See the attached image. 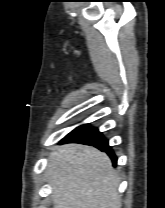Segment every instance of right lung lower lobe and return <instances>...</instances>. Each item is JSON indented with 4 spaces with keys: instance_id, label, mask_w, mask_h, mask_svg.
I'll list each match as a JSON object with an SVG mask.
<instances>
[{
    "instance_id": "right-lung-lower-lobe-1",
    "label": "right lung lower lobe",
    "mask_w": 165,
    "mask_h": 208,
    "mask_svg": "<svg viewBox=\"0 0 165 208\" xmlns=\"http://www.w3.org/2000/svg\"><path fill=\"white\" fill-rule=\"evenodd\" d=\"M61 143H80L94 146L99 150L106 152L110 156L114 166L117 164V157L109 146L108 140H106L102 133L96 128L81 125L62 139Z\"/></svg>"
}]
</instances>
